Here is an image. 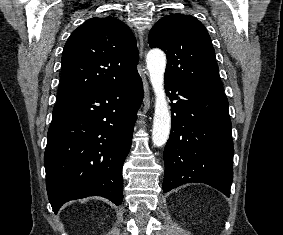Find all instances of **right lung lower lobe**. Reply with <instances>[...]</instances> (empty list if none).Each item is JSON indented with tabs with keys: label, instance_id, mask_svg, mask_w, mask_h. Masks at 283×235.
I'll return each instance as SVG.
<instances>
[{
	"label": "right lung lower lobe",
	"instance_id": "right-lung-lower-lobe-1",
	"mask_svg": "<svg viewBox=\"0 0 283 235\" xmlns=\"http://www.w3.org/2000/svg\"><path fill=\"white\" fill-rule=\"evenodd\" d=\"M142 97V80L136 73L57 102L44 155L46 187L55 213L69 200L92 195L122 203V166Z\"/></svg>",
	"mask_w": 283,
	"mask_h": 235
}]
</instances>
